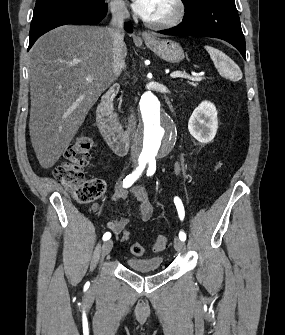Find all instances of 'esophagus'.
Returning a JSON list of instances; mask_svg holds the SVG:
<instances>
[{"label":"esophagus","mask_w":285,"mask_h":335,"mask_svg":"<svg viewBox=\"0 0 285 335\" xmlns=\"http://www.w3.org/2000/svg\"><path fill=\"white\" fill-rule=\"evenodd\" d=\"M142 37L144 39H151L152 35L149 32H142Z\"/></svg>","instance_id":"esophagus-1"}]
</instances>
